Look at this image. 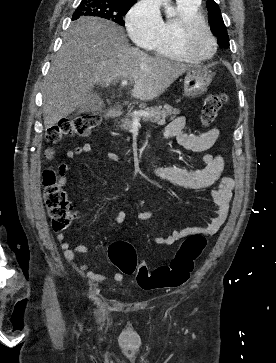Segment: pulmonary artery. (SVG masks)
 <instances>
[{
    "label": "pulmonary artery",
    "instance_id": "obj_1",
    "mask_svg": "<svg viewBox=\"0 0 276 363\" xmlns=\"http://www.w3.org/2000/svg\"><path fill=\"white\" fill-rule=\"evenodd\" d=\"M179 1L196 2V1H200V0H179Z\"/></svg>",
    "mask_w": 276,
    "mask_h": 363
}]
</instances>
